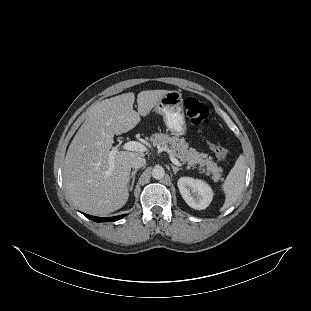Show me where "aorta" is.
<instances>
[{
  "label": "aorta",
  "instance_id": "obj_1",
  "mask_svg": "<svg viewBox=\"0 0 311 311\" xmlns=\"http://www.w3.org/2000/svg\"><path fill=\"white\" fill-rule=\"evenodd\" d=\"M165 176V170L162 166L156 165L152 169V177L156 180H161Z\"/></svg>",
  "mask_w": 311,
  "mask_h": 311
}]
</instances>
